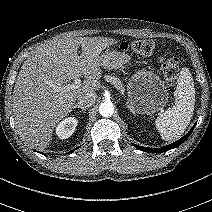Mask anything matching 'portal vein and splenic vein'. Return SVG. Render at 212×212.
<instances>
[{
    "instance_id": "1",
    "label": "portal vein and splenic vein",
    "mask_w": 212,
    "mask_h": 212,
    "mask_svg": "<svg viewBox=\"0 0 212 212\" xmlns=\"http://www.w3.org/2000/svg\"><path fill=\"white\" fill-rule=\"evenodd\" d=\"M80 84H81V80L79 78H76L74 80V84L65 85V86L62 87V90L68 91V90H71V89H76V88L80 87Z\"/></svg>"
}]
</instances>
